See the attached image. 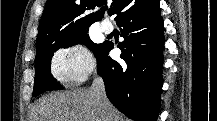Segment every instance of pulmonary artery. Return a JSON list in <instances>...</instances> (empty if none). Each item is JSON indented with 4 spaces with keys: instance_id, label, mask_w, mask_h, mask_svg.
<instances>
[{
    "instance_id": "e3ab8cb5",
    "label": "pulmonary artery",
    "mask_w": 217,
    "mask_h": 121,
    "mask_svg": "<svg viewBox=\"0 0 217 121\" xmlns=\"http://www.w3.org/2000/svg\"><path fill=\"white\" fill-rule=\"evenodd\" d=\"M100 28L104 33H111L113 31V24L110 21H103L100 23Z\"/></svg>"
}]
</instances>
